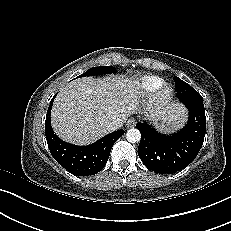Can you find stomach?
Masks as SVG:
<instances>
[{
    "mask_svg": "<svg viewBox=\"0 0 231 231\" xmlns=\"http://www.w3.org/2000/svg\"><path fill=\"white\" fill-rule=\"evenodd\" d=\"M157 128L165 132H171L177 128L176 122L171 118V114H166L154 119Z\"/></svg>",
    "mask_w": 231,
    "mask_h": 231,
    "instance_id": "stomach-1",
    "label": "stomach"
}]
</instances>
